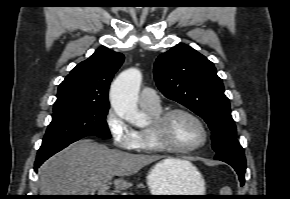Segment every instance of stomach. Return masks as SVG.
<instances>
[{
  "label": "stomach",
  "instance_id": "stomach-1",
  "mask_svg": "<svg viewBox=\"0 0 290 199\" xmlns=\"http://www.w3.org/2000/svg\"><path fill=\"white\" fill-rule=\"evenodd\" d=\"M147 186L151 195H204L205 182L196 167L172 169L163 161L156 163L147 174ZM161 198L196 199V196Z\"/></svg>",
  "mask_w": 290,
  "mask_h": 199
}]
</instances>
